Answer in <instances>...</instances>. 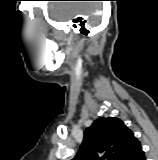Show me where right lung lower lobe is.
Returning <instances> with one entry per match:
<instances>
[{
    "label": "right lung lower lobe",
    "mask_w": 158,
    "mask_h": 160,
    "mask_svg": "<svg viewBox=\"0 0 158 160\" xmlns=\"http://www.w3.org/2000/svg\"><path fill=\"white\" fill-rule=\"evenodd\" d=\"M128 160H146L142 147H140Z\"/></svg>",
    "instance_id": "obj_1"
}]
</instances>
